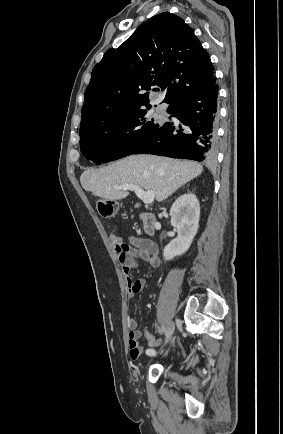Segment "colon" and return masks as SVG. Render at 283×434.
Wrapping results in <instances>:
<instances>
[{"mask_svg":"<svg viewBox=\"0 0 283 434\" xmlns=\"http://www.w3.org/2000/svg\"><path fill=\"white\" fill-rule=\"evenodd\" d=\"M97 208L101 216L104 218H112L117 211V204L113 200L100 199L97 203Z\"/></svg>","mask_w":283,"mask_h":434,"instance_id":"5ec220e1","label":"colon"}]
</instances>
